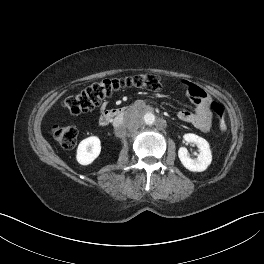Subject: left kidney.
Listing matches in <instances>:
<instances>
[{
	"label": "left kidney",
	"instance_id": "left-kidney-1",
	"mask_svg": "<svg viewBox=\"0 0 264 264\" xmlns=\"http://www.w3.org/2000/svg\"><path fill=\"white\" fill-rule=\"evenodd\" d=\"M184 140L188 143L196 144L199 149V154L196 159H191L188 154V150L185 147H181L178 150V157L183 166L194 172H202L207 169L212 161V153L209 143L198 135L187 133L183 136Z\"/></svg>",
	"mask_w": 264,
	"mask_h": 264
}]
</instances>
